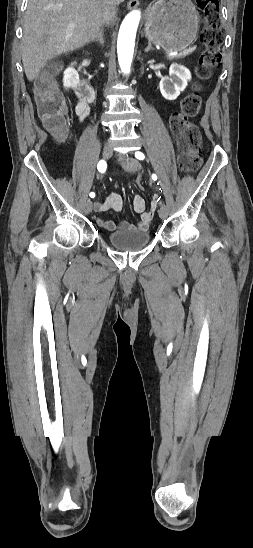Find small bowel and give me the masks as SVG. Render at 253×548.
<instances>
[{
	"mask_svg": "<svg viewBox=\"0 0 253 548\" xmlns=\"http://www.w3.org/2000/svg\"><path fill=\"white\" fill-rule=\"evenodd\" d=\"M90 108L87 101L80 100L77 107L76 113L81 120L85 119L89 114ZM157 197L154 196L151 200V207L149 210H146V204L144 199L135 195L132 198V204L134 210L140 214V219L136 224H131L127 221H121L119 223H114L112 221H105L99 217L95 218V221L98 226L103 227L107 230H117V231H145L147 230L149 223L151 222L154 211L157 204ZM95 210L97 212H104L107 210H114L120 212L124 207V200L122 196L116 192H111L108 197L103 202L95 203Z\"/></svg>",
	"mask_w": 253,
	"mask_h": 548,
	"instance_id": "obj_1",
	"label": "small bowel"
}]
</instances>
